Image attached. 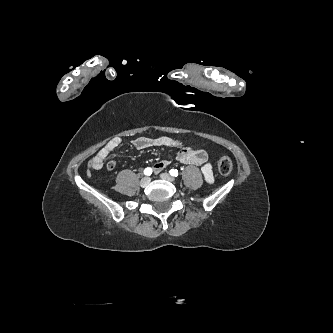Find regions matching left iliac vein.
<instances>
[{"instance_id": "4c4485c4", "label": "left iliac vein", "mask_w": 333, "mask_h": 333, "mask_svg": "<svg viewBox=\"0 0 333 333\" xmlns=\"http://www.w3.org/2000/svg\"><path fill=\"white\" fill-rule=\"evenodd\" d=\"M160 178L169 182H173L174 178L172 176H170L168 173H162L160 175Z\"/></svg>"}]
</instances>
